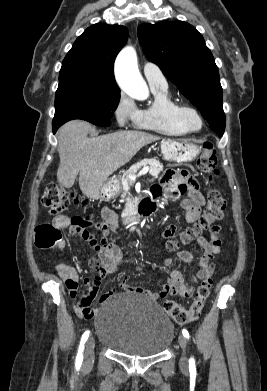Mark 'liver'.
I'll use <instances>...</instances> for the list:
<instances>
[{
  "label": "liver",
  "mask_w": 267,
  "mask_h": 391,
  "mask_svg": "<svg viewBox=\"0 0 267 391\" xmlns=\"http://www.w3.org/2000/svg\"><path fill=\"white\" fill-rule=\"evenodd\" d=\"M91 130V124L82 120H72L60 127L57 179L62 186L71 188L79 173L82 193L96 200L108 177L159 137L142 131H118L88 138Z\"/></svg>",
  "instance_id": "liver-1"
}]
</instances>
